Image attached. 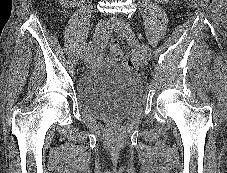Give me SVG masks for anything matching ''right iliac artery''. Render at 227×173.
I'll list each match as a JSON object with an SVG mask.
<instances>
[{
  "label": "right iliac artery",
  "mask_w": 227,
  "mask_h": 173,
  "mask_svg": "<svg viewBox=\"0 0 227 173\" xmlns=\"http://www.w3.org/2000/svg\"><path fill=\"white\" fill-rule=\"evenodd\" d=\"M106 41H107V35L105 37H101V41H99V47H105L106 44L104 42ZM93 43H97V42L90 41L88 44L84 46L81 58L88 52V50L90 49Z\"/></svg>",
  "instance_id": "82829eb1"
}]
</instances>
